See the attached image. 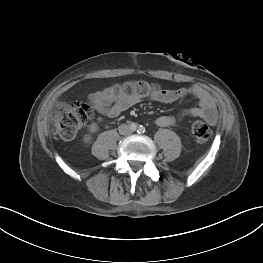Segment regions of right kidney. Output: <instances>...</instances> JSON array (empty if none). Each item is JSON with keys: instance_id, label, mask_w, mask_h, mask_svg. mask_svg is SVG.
<instances>
[{"instance_id": "ca27d5eb", "label": "right kidney", "mask_w": 263, "mask_h": 263, "mask_svg": "<svg viewBox=\"0 0 263 263\" xmlns=\"http://www.w3.org/2000/svg\"><path fill=\"white\" fill-rule=\"evenodd\" d=\"M97 125L95 124V123H92L91 125H90V127H89V130L91 131V132H94V131H96L97 130ZM86 140H89V137H86Z\"/></svg>"}]
</instances>
